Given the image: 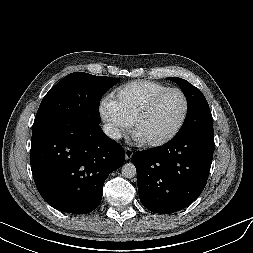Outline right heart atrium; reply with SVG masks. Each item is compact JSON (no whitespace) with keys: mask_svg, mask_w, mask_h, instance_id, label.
<instances>
[{"mask_svg":"<svg viewBox=\"0 0 253 253\" xmlns=\"http://www.w3.org/2000/svg\"><path fill=\"white\" fill-rule=\"evenodd\" d=\"M100 114L102 119L109 124L115 138L119 137L129 127L114 99L106 98L102 101Z\"/></svg>","mask_w":253,"mask_h":253,"instance_id":"1","label":"right heart atrium"}]
</instances>
